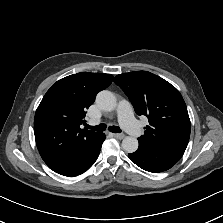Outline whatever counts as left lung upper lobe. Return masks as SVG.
Masks as SVG:
<instances>
[{
    "label": "left lung upper lobe",
    "instance_id": "5c2ea615",
    "mask_svg": "<svg viewBox=\"0 0 223 223\" xmlns=\"http://www.w3.org/2000/svg\"><path fill=\"white\" fill-rule=\"evenodd\" d=\"M129 97L135 112L148 117L139 145L181 158L190 137V119L180 92L161 77L147 72L123 73L114 78ZM145 129V128H144Z\"/></svg>",
    "mask_w": 223,
    "mask_h": 223
}]
</instances>
